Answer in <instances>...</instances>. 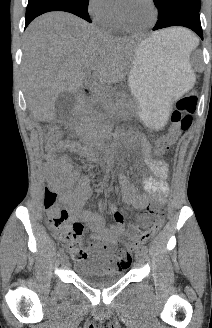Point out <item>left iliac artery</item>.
<instances>
[{
  "label": "left iliac artery",
  "instance_id": "obj_1",
  "mask_svg": "<svg viewBox=\"0 0 212 328\" xmlns=\"http://www.w3.org/2000/svg\"><path fill=\"white\" fill-rule=\"evenodd\" d=\"M142 251L144 252V253H147V251H148V248H147V246L146 245H144V246H142Z\"/></svg>",
  "mask_w": 212,
  "mask_h": 328
}]
</instances>
